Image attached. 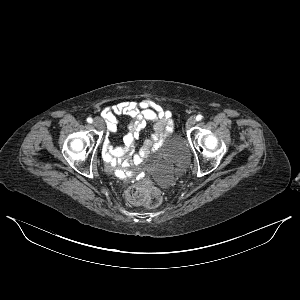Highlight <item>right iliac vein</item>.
I'll use <instances>...</instances> for the list:
<instances>
[{"label": "right iliac vein", "mask_w": 300, "mask_h": 300, "mask_svg": "<svg viewBox=\"0 0 300 300\" xmlns=\"http://www.w3.org/2000/svg\"><path fill=\"white\" fill-rule=\"evenodd\" d=\"M94 126L96 127V128H98V129H102L103 128V120L101 119V118H99V117H96L95 119H94Z\"/></svg>", "instance_id": "obj_1"}]
</instances>
